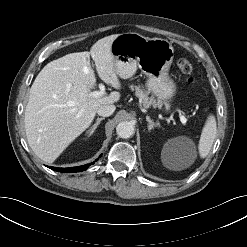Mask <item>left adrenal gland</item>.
Here are the masks:
<instances>
[{
  "label": "left adrenal gland",
  "mask_w": 247,
  "mask_h": 247,
  "mask_svg": "<svg viewBox=\"0 0 247 247\" xmlns=\"http://www.w3.org/2000/svg\"><path fill=\"white\" fill-rule=\"evenodd\" d=\"M146 120H147V122H148V131L150 132L152 129H154V127H157L158 126V124H156V123H154L153 122V120L149 117V116H147L146 117Z\"/></svg>",
  "instance_id": "a2214340"
}]
</instances>
